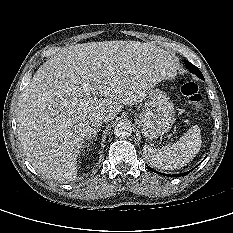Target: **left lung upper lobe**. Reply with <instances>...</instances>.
Returning a JSON list of instances; mask_svg holds the SVG:
<instances>
[{"instance_id": "left-lung-upper-lobe-1", "label": "left lung upper lobe", "mask_w": 233, "mask_h": 233, "mask_svg": "<svg viewBox=\"0 0 233 233\" xmlns=\"http://www.w3.org/2000/svg\"><path fill=\"white\" fill-rule=\"evenodd\" d=\"M184 62H185V65H186L187 69H188L190 72L194 73V74H195L196 76H198L200 79L204 78L203 75H202V73L199 71V69H198L195 65H193L192 63H190V62L187 61V60H185Z\"/></svg>"}]
</instances>
